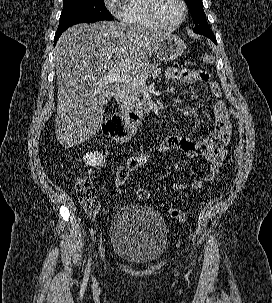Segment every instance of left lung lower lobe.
<instances>
[{
    "label": "left lung lower lobe",
    "instance_id": "left-lung-lower-lobe-1",
    "mask_svg": "<svg viewBox=\"0 0 272 303\" xmlns=\"http://www.w3.org/2000/svg\"><path fill=\"white\" fill-rule=\"evenodd\" d=\"M204 36L210 38L215 44H217V41H216V38H215L214 34H206Z\"/></svg>",
    "mask_w": 272,
    "mask_h": 303
}]
</instances>
